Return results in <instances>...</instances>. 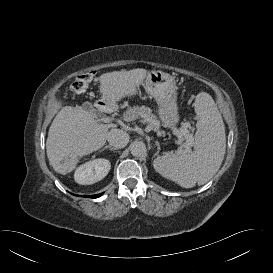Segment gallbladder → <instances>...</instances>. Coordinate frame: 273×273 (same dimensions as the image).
<instances>
[{
    "label": "gallbladder",
    "instance_id": "1",
    "mask_svg": "<svg viewBox=\"0 0 273 273\" xmlns=\"http://www.w3.org/2000/svg\"><path fill=\"white\" fill-rule=\"evenodd\" d=\"M82 107H83V109H85L86 111H88L90 113L94 112V108H93L92 104L89 102L83 103Z\"/></svg>",
    "mask_w": 273,
    "mask_h": 273
}]
</instances>
